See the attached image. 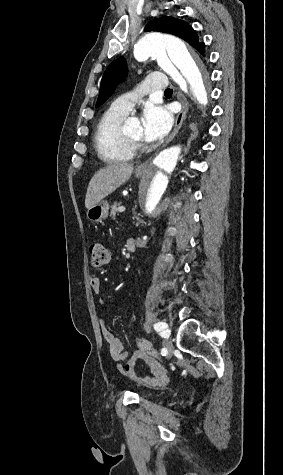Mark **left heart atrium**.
<instances>
[{"instance_id":"39dd6f15","label":"left heart atrium","mask_w":283,"mask_h":475,"mask_svg":"<svg viewBox=\"0 0 283 475\" xmlns=\"http://www.w3.org/2000/svg\"><path fill=\"white\" fill-rule=\"evenodd\" d=\"M144 139L160 140L170 131L173 116L170 109L160 103L148 104L141 117Z\"/></svg>"}]
</instances>
